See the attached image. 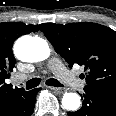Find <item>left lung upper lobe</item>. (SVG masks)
Wrapping results in <instances>:
<instances>
[{
    "mask_svg": "<svg viewBox=\"0 0 116 116\" xmlns=\"http://www.w3.org/2000/svg\"><path fill=\"white\" fill-rule=\"evenodd\" d=\"M41 31L72 67L84 66L85 87L116 91V32L106 26L81 22L45 23Z\"/></svg>",
    "mask_w": 116,
    "mask_h": 116,
    "instance_id": "left-lung-upper-lobe-1",
    "label": "left lung upper lobe"
}]
</instances>
